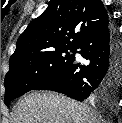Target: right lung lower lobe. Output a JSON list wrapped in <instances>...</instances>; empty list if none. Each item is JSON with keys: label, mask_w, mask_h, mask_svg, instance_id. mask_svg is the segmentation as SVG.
<instances>
[{"label": "right lung lower lobe", "mask_w": 122, "mask_h": 123, "mask_svg": "<svg viewBox=\"0 0 122 123\" xmlns=\"http://www.w3.org/2000/svg\"><path fill=\"white\" fill-rule=\"evenodd\" d=\"M87 66L74 61L56 76L33 90H51L75 100L100 97L114 101L122 83V42L108 23L86 38L78 47Z\"/></svg>", "instance_id": "obj_1"}]
</instances>
